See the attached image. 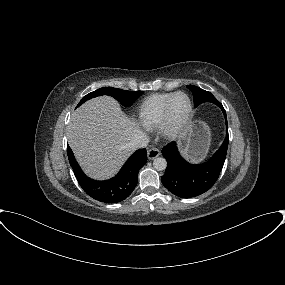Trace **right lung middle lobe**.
Segmentation results:
<instances>
[{"mask_svg":"<svg viewBox=\"0 0 285 285\" xmlns=\"http://www.w3.org/2000/svg\"><path fill=\"white\" fill-rule=\"evenodd\" d=\"M141 94L142 91H126L118 88L103 87L84 96L77 107L85 101L101 95H109L120 101L124 106H130Z\"/></svg>","mask_w":285,"mask_h":285,"instance_id":"dd1d6c3e","label":"right lung middle lobe"}]
</instances>
